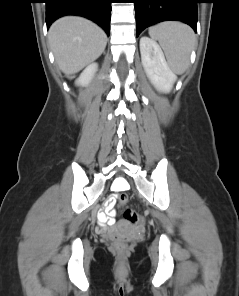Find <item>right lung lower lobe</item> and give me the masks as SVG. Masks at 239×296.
Instances as JSON below:
<instances>
[{
	"instance_id": "1",
	"label": "right lung lower lobe",
	"mask_w": 239,
	"mask_h": 296,
	"mask_svg": "<svg viewBox=\"0 0 239 296\" xmlns=\"http://www.w3.org/2000/svg\"><path fill=\"white\" fill-rule=\"evenodd\" d=\"M47 29L58 18L65 15L86 17L109 36L112 0H45Z\"/></svg>"
}]
</instances>
